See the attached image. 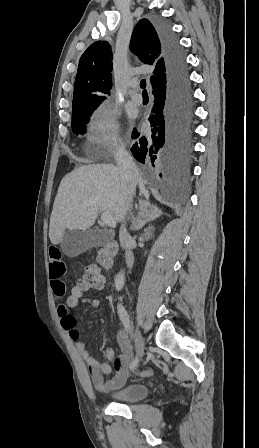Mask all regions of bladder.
Returning a JSON list of instances; mask_svg holds the SVG:
<instances>
[{"label": "bladder", "mask_w": 259, "mask_h": 448, "mask_svg": "<svg viewBox=\"0 0 259 448\" xmlns=\"http://www.w3.org/2000/svg\"><path fill=\"white\" fill-rule=\"evenodd\" d=\"M148 393V386L144 384H130L119 390L110 392L108 397L116 402L132 403L145 399Z\"/></svg>", "instance_id": "1"}]
</instances>
